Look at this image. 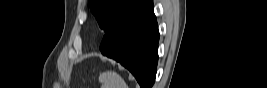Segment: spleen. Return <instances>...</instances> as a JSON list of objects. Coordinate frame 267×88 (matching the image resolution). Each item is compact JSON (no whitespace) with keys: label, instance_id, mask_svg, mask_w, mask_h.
Masks as SVG:
<instances>
[{"label":"spleen","instance_id":"obj_1","mask_svg":"<svg viewBox=\"0 0 267 88\" xmlns=\"http://www.w3.org/2000/svg\"><path fill=\"white\" fill-rule=\"evenodd\" d=\"M103 88H128L122 77L113 71H108L100 75Z\"/></svg>","mask_w":267,"mask_h":88}]
</instances>
